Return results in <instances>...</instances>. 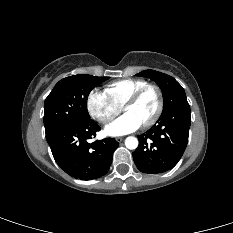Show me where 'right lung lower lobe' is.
Here are the masks:
<instances>
[{"mask_svg":"<svg viewBox=\"0 0 233 233\" xmlns=\"http://www.w3.org/2000/svg\"><path fill=\"white\" fill-rule=\"evenodd\" d=\"M99 130L98 124L89 119L46 131L56 163L69 175L82 180L105 175L119 143L110 138L89 143Z\"/></svg>","mask_w":233,"mask_h":233,"instance_id":"right-lung-lower-lobe-1","label":"right lung lower lobe"}]
</instances>
